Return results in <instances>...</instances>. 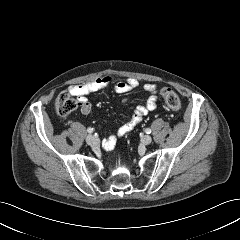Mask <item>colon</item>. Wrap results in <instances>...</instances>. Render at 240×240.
I'll list each match as a JSON object with an SVG mask.
<instances>
[{
	"mask_svg": "<svg viewBox=\"0 0 240 240\" xmlns=\"http://www.w3.org/2000/svg\"><path fill=\"white\" fill-rule=\"evenodd\" d=\"M162 97L167 106L173 110L178 111L181 107V101L178 95L169 87H164L161 90ZM57 107L61 115H68L77 109L78 103L70 95L62 93L57 99Z\"/></svg>",
	"mask_w": 240,
	"mask_h": 240,
	"instance_id": "1",
	"label": "colon"
}]
</instances>
